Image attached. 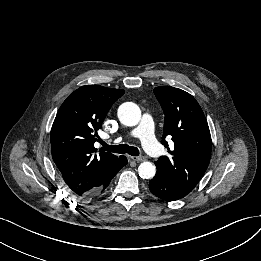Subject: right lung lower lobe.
I'll return each mask as SVG.
<instances>
[{
  "label": "right lung lower lobe",
  "mask_w": 261,
  "mask_h": 261,
  "mask_svg": "<svg viewBox=\"0 0 261 261\" xmlns=\"http://www.w3.org/2000/svg\"><path fill=\"white\" fill-rule=\"evenodd\" d=\"M127 164V158L125 156H121V158L118 160V162L116 163V165L113 167V169L111 170V172L109 173L108 177L106 178V180L104 181V183L98 187L96 190H94L92 193H90L88 195L89 197H94V196H98L101 193H103L106 188L108 187V185L110 184L111 180L113 179V177L118 173V171Z\"/></svg>",
  "instance_id": "right-lung-lower-lobe-1"
}]
</instances>
